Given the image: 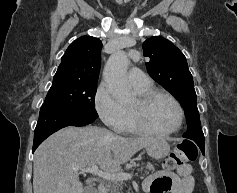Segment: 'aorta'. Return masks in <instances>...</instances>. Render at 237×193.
<instances>
[{"label":"aorta","instance_id":"aorta-1","mask_svg":"<svg viewBox=\"0 0 237 193\" xmlns=\"http://www.w3.org/2000/svg\"><path fill=\"white\" fill-rule=\"evenodd\" d=\"M128 63L126 53L120 50L110 56L103 71L110 92L122 104H127L132 100L126 77Z\"/></svg>","mask_w":237,"mask_h":193}]
</instances>
